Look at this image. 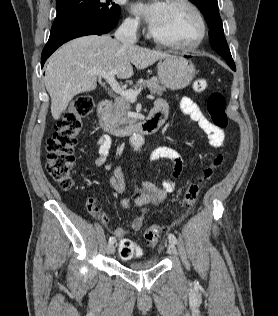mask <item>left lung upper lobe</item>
Instances as JSON below:
<instances>
[{
	"mask_svg": "<svg viewBox=\"0 0 278 316\" xmlns=\"http://www.w3.org/2000/svg\"><path fill=\"white\" fill-rule=\"evenodd\" d=\"M190 1L193 2L205 16L210 29L209 35L212 48L226 59L231 69L236 70L234 61L227 45V41L224 36L223 25L221 17L219 15L217 0Z\"/></svg>",
	"mask_w": 278,
	"mask_h": 316,
	"instance_id": "5c2ea615",
	"label": "left lung upper lobe"
}]
</instances>
